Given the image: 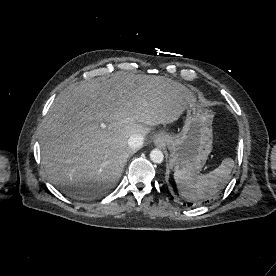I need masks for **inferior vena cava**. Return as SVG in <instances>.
Listing matches in <instances>:
<instances>
[{"mask_svg": "<svg viewBox=\"0 0 276 276\" xmlns=\"http://www.w3.org/2000/svg\"><path fill=\"white\" fill-rule=\"evenodd\" d=\"M144 137L141 134H133L128 139V146L131 149H139L142 147Z\"/></svg>", "mask_w": 276, "mask_h": 276, "instance_id": "inferior-vena-cava-1", "label": "inferior vena cava"}]
</instances>
